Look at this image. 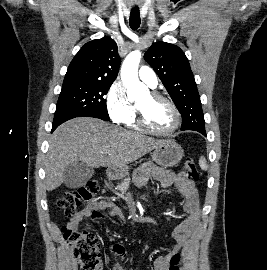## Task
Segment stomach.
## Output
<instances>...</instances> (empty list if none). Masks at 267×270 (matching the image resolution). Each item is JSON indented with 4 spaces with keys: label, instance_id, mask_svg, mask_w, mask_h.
Returning <instances> with one entry per match:
<instances>
[{
    "label": "stomach",
    "instance_id": "obj_1",
    "mask_svg": "<svg viewBox=\"0 0 267 270\" xmlns=\"http://www.w3.org/2000/svg\"><path fill=\"white\" fill-rule=\"evenodd\" d=\"M183 157V149L175 141L167 140L162 145L155 148L153 161L162 167L176 165ZM129 173V167L109 168L107 175L112 179H121Z\"/></svg>",
    "mask_w": 267,
    "mask_h": 270
}]
</instances>
